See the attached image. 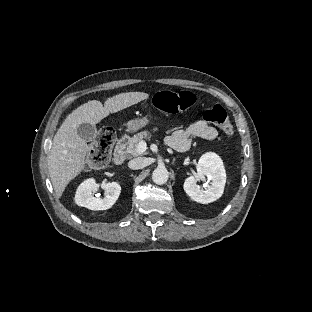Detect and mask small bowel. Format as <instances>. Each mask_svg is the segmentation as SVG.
<instances>
[{
	"mask_svg": "<svg viewBox=\"0 0 312 312\" xmlns=\"http://www.w3.org/2000/svg\"><path fill=\"white\" fill-rule=\"evenodd\" d=\"M217 130L203 120L196 121L184 129L176 128L166 139V143L178 152H185L191 146V139L198 137L206 140L216 138Z\"/></svg>",
	"mask_w": 312,
	"mask_h": 312,
	"instance_id": "obj_1",
	"label": "small bowel"
}]
</instances>
